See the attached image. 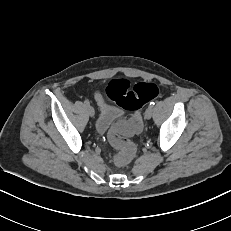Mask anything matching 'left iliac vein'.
<instances>
[{
    "label": "left iliac vein",
    "mask_w": 231,
    "mask_h": 231,
    "mask_svg": "<svg viewBox=\"0 0 231 231\" xmlns=\"http://www.w3.org/2000/svg\"><path fill=\"white\" fill-rule=\"evenodd\" d=\"M152 114H153V107H148L146 110H145V118L146 119H150L152 117Z\"/></svg>",
    "instance_id": "4c4485c4"
}]
</instances>
